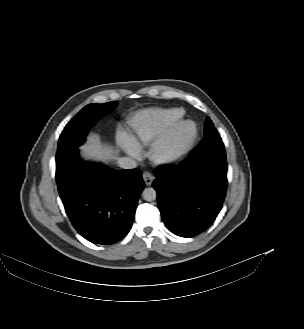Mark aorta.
<instances>
[{
	"label": "aorta",
	"mask_w": 304,
	"mask_h": 329,
	"mask_svg": "<svg viewBox=\"0 0 304 329\" xmlns=\"http://www.w3.org/2000/svg\"><path fill=\"white\" fill-rule=\"evenodd\" d=\"M142 196L145 201H154L156 199V191L154 188H145Z\"/></svg>",
	"instance_id": "aorta-1"
}]
</instances>
